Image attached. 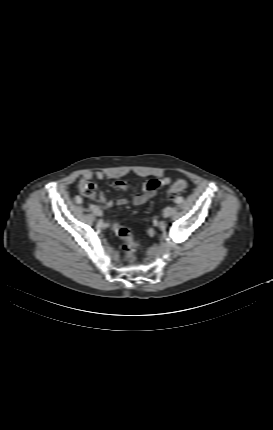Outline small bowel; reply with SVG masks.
I'll return each mask as SVG.
<instances>
[{"mask_svg":"<svg viewBox=\"0 0 273 430\" xmlns=\"http://www.w3.org/2000/svg\"><path fill=\"white\" fill-rule=\"evenodd\" d=\"M104 176L105 174L102 171H87L84 173V178L86 179H91V178L103 179ZM170 182H171V178L169 177L147 180L146 182H144L142 186V192L137 193L133 196L132 198L133 204L136 206L146 204L149 200H151L156 195V193L161 187L168 185ZM115 186L119 190H123V191H126L129 188L128 183L124 180L116 181ZM99 200L107 208L112 207L114 204L113 200L107 198L105 193L100 194ZM128 202L129 200L127 198L121 197L117 199L116 204L118 206H124Z\"/></svg>","mask_w":273,"mask_h":430,"instance_id":"1","label":"small bowel"}]
</instances>
